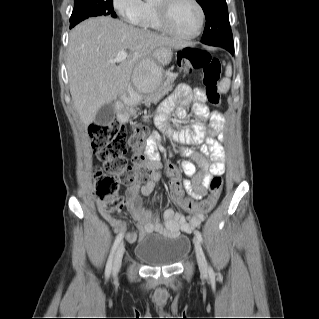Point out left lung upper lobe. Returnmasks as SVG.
I'll use <instances>...</instances> for the list:
<instances>
[{
    "label": "left lung upper lobe",
    "mask_w": 319,
    "mask_h": 319,
    "mask_svg": "<svg viewBox=\"0 0 319 319\" xmlns=\"http://www.w3.org/2000/svg\"><path fill=\"white\" fill-rule=\"evenodd\" d=\"M206 16L201 42L212 46L233 43L226 0H196Z\"/></svg>",
    "instance_id": "1"
}]
</instances>
